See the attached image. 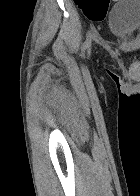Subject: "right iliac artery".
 <instances>
[{
  "label": "right iliac artery",
  "instance_id": "obj_1",
  "mask_svg": "<svg viewBox=\"0 0 140 196\" xmlns=\"http://www.w3.org/2000/svg\"><path fill=\"white\" fill-rule=\"evenodd\" d=\"M91 38H92L91 33L88 32L87 39H86V42H85V46L88 47V48L90 47V44H91Z\"/></svg>",
  "mask_w": 140,
  "mask_h": 196
}]
</instances>
